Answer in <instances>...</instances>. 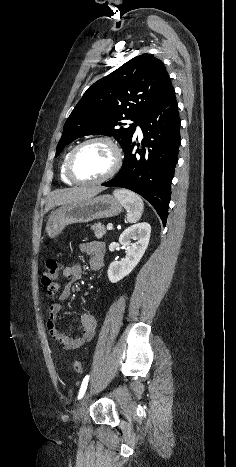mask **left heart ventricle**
<instances>
[{"mask_svg":"<svg viewBox=\"0 0 236 467\" xmlns=\"http://www.w3.org/2000/svg\"><path fill=\"white\" fill-rule=\"evenodd\" d=\"M113 164V152L105 143H93L82 148L74 160V172L84 181L104 176Z\"/></svg>","mask_w":236,"mask_h":467,"instance_id":"b2bd125f","label":"left heart ventricle"}]
</instances>
